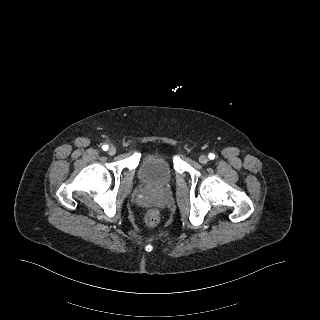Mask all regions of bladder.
<instances>
[{
	"mask_svg": "<svg viewBox=\"0 0 320 320\" xmlns=\"http://www.w3.org/2000/svg\"><path fill=\"white\" fill-rule=\"evenodd\" d=\"M139 177L147 185L161 187L171 181L172 168L165 157L150 154L141 163Z\"/></svg>",
	"mask_w": 320,
	"mask_h": 320,
	"instance_id": "bladder-1",
	"label": "bladder"
}]
</instances>
